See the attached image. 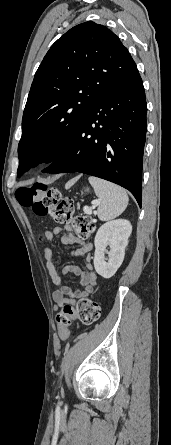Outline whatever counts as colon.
Returning <instances> with one entry per match:
<instances>
[{
	"label": "colon",
	"mask_w": 171,
	"mask_h": 445,
	"mask_svg": "<svg viewBox=\"0 0 171 445\" xmlns=\"http://www.w3.org/2000/svg\"><path fill=\"white\" fill-rule=\"evenodd\" d=\"M16 199L23 207L32 209L37 216H50L56 223L72 228L80 239H88L94 230V222L88 215H75L74 202L63 197L58 190L48 189L36 184L21 187L16 192ZM100 306L92 299L81 298L76 306L63 307L55 316L59 328H67L72 319L80 320L90 326L99 320Z\"/></svg>",
	"instance_id": "1"
}]
</instances>
